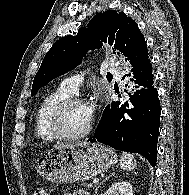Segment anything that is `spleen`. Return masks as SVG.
I'll return each mask as SVG.
<instances>
[{
    "label": "spleen",
    "mask_w": 189,
    "mask_h": 195,
    "mask_svg": "<svg viewBox=\"0 0 189 195\" xmlns=\"http://www.w3.org/2000/svg\"><path fill=\"white\" fill-rule=\"evenodd\" d=\"M119 165L123 170H132L137 166V161L132 154L123 153L120 157Z\"/></svg>",
    "instance_id": "3e777b00"
}]
</instances>
